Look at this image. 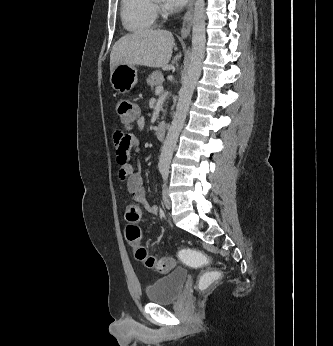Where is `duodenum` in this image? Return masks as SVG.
<instances>
[{
	"mask_svg": "<svg viewBox=\"0 0 333 346\" xmlns=\"http://www.w3.org/2000/svg\"><path fill=\"white\" fill-rule=\"evenodd\" d=\"M167 125L164 122H159L156 126V136L159 140H163L166 135Z\"/></svg>",
	"mask_w": 333,
	"mask_h": 346,
	"instance_id": "obj_1",
	"label": "duodenum"
}]
</instances>
